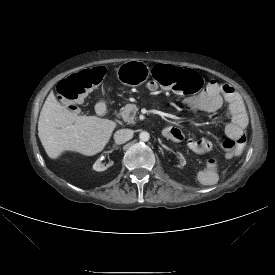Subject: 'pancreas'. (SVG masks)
I'll list each match as a JSON object with an SVG mask.
<instances>
[{"instance_id": "obj_1", "label": "pancreas", "mask_w": 275, "mask_h": 275, "mask_svg": "<svg viewBox=\"0 0 275 275\" xmlns=\"http://www.w3.org/2000/svg\"><path fill=\"white\" fill-rule=\"evenodd\" d=\"M138 109L136 104H126L121 108L119 116H121L126 123L133 124Z\"/></svg>"}]
</instances>
